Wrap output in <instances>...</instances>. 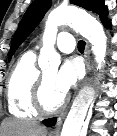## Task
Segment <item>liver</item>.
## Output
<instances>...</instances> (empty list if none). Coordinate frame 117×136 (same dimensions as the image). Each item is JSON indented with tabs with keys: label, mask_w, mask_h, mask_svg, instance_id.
I'll use <instances>...</instances> for the list:
<instances>
[{
	"label": "liver",
	"mask_w": 117,
	"mask_h": 136,
	"mask_svg": "<svg viewBox=\"0 0 117 136\" xmlns=\"http://www.w3.org/2000/svg\"><path fill=\"white\" fill-rule=\"evenodd\" d=\"M3 136H46L45 128L35 122L22 120H8L3 123Z\"/></svg>",
	"instance_id": "liver-1"
}]
</instances>
